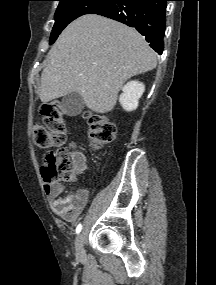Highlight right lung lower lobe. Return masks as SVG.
Instances as JSON below:
<instances>
[{
	"instance_id": "1",
	"label": "right lung lower lobe",
	"mask_w": 216,
	"mask_h": 285,
	"mask_svg": "<svg viewBox=\"0 0 216 285\" xmlns=\"http://www.w3.org/2000/svg\"><path fill=\"white\" fill-rule=\"evenodd\" d=\"M166 1L169 0H113L91 14L102 15L136 28L150 46L162 54Z\"/></svg>"
}]
</instances>
